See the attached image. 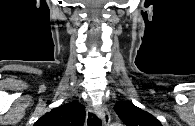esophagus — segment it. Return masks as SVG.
I'll use <instances>...</instances> for the list:
<instances>
[{
	"label": "esophagus",
	"instance_id": "esophagus-1",
	"mask_svg": "<svg viewBox=\"0 0 195 126\" xmlns=\"http://www.w3.org/2000/svg\"><path fill=\"white\" fill-rule=\"evenodd\" d=\"M94 112L102 119L104 126H108L111 121V116L105 106L95 107Z\"/></svg>",
	"mask_w": 195,
	"mask_h": 126
}]
</instances>
